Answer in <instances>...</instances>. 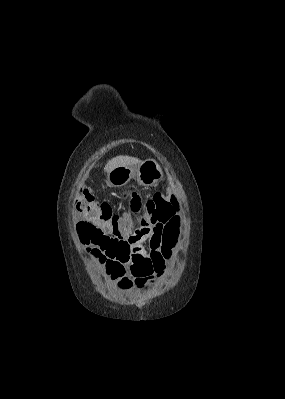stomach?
I'll use <instances>...</instances> for the list:
<instances>
[{"label": "stomach", "mask_w": 285, "mask_h": 399, "mask_svg": "<svg viewBox=\"0 0 285 399\" xmlns=\"http://www.w3.org/2000/svg\"><path fill=\"white\" fill-rule=\"evenodd\" d=\"M163 177L161 166L154 159H146L136 167L119 166L107 174L106 183L111 187H122L132 178L142 186H153Z\"/></svg>", "instance_id": "obj_1"}]
</instances>
